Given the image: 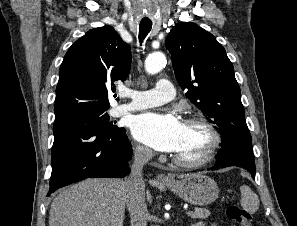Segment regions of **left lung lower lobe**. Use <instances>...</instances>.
Masks as SVG:
<instances>
[{
	"mask_svg": "<svg viewBox=\"0 0 297 226\" xmlns=\"http://www.w3.org/2000/svg\"><path fill=\"white\" fill-rule=\"evenodd\" d=\"M218 161L211 167V170L238 166L246 169L255 179L256 167L254 163V154L252 144L247 146H224L218 152Z\"/></svg>",
	"mask_w": 297,
	"mask_h": 226,
	"instance_id": "0a47b994",
	"label": "left lung lower lobe"
}]
</instances>
